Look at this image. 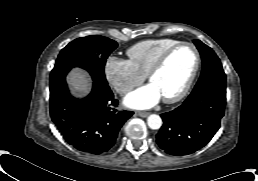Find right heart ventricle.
<instances>
[{
  "instance_id": "1",
  "label": "right heart ventricle",
  "mask_w": 258,
  "mask_h": 181,
  "mask_svg": "<svg viewBox=\"0 0 258 181\" xmlns=\"http://www.w3.org/2000/svg\"><path fill=\"white\" fill-rule=\"evenodd\" d=\"M178 42L171 38L140 41L127 50L128 61L136 71L147 76L159 56Z\"/></svg>"
}]
</instances>
